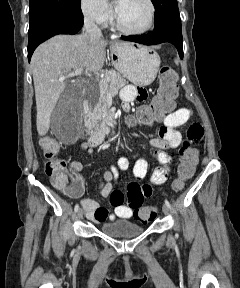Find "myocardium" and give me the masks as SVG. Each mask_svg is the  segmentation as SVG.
<instances>
[{"label": "myocardium", "mask_w": 240, "mask_h": 288, "mask_svg": "<svg viewBox=\"0 0 240 288\" xmlns=\"http://www.w3.org/2000/svg\"><path fill=\"white\" fill-rule=\"evenodd\" d=\"M146 2L148 3L149 7H150V11H151V16H150V22L148 24L147 27L141 29V30H132L129 29L127 26H125V24L122 22L118 12L115 15V23L116 26L119 30H121L124 33L127 34H131V35H141V34H145L147 32H149L155 24V19H156V7L155 4L152 0H146Z\"/></svg>", "instance_id": "obj_1"}]
</instances>
